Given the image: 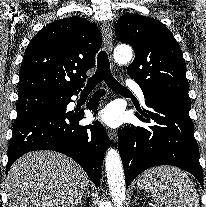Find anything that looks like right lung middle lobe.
I'll return each instance as SVG.
<instances>
[{
	"label": "right lung middle lobe",
	"instance_id": "1",
	"mask_svg": "<svg viewBox=\"0 0 206 207\" xmlns=\"http://www.w3.org/2000/svg\"><path fill=\"white\" fill-rule=\"evenodd\" d=\"M65 95L34 94L18 99L17 118L23 119L46 112H60L65 110Z\"/></svg>",
	"mask_w": 206,
	"mask_h": 207
}]
</instances>
